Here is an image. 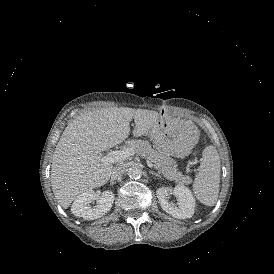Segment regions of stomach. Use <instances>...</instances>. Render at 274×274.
I'll return each mask as SVG.
<instances>
[{
    "label": "stomach",
    "mask_w": 274,
    "mask_h": 274,
    "mask_svg": "<svg viewBox=\"0 0 274 274\" xmlns=\"http://www.w3.org/2000/svg\"><path fill=\"white\" fill-rule=\"evenodd\" d=\"M199 131L194 125L160 114L155 129L149 132L155 145L165 154L184 158L198 143Z\"/></svg>",
    "instance_id": "1"
}]
</instances>
